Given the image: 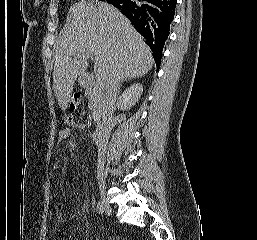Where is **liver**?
Listing matches in <instances>:
<instances>
[{"mask_svg":"<svg viewBox=\"0 0 257 240\" xmlns=\"http://www.w3.org/2000/svg\"><path fill=\"white\" fill-rule=\"evenodd\" d=\"M87 54L94 56L95 76L103 84L114 72L121 81L142 77L154 63L143 38L115 7L74 4L54 54L53 88L62 110L68 106L77 77L87 78Z\"/></svg>","mask_w":257,"mask_h":240,"instance_id":"6515ba94","label":"liver"}]
</instances>
